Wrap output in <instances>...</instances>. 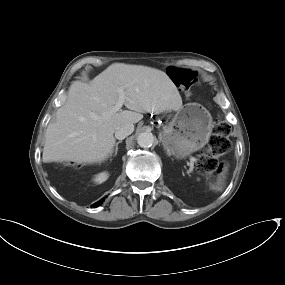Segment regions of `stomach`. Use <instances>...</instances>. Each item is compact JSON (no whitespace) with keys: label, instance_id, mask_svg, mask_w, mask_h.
<instances>
[{"label":"stomach","instance_id":"1","mask_svg":"<svg viewBox=\"0 0 285 285\" xmlns=\"http://www.w3.org/2000/svg\"><path fill=\"white\" fill-rule=\"evenodd\" d=\"M212 132L210 113L199 104L183 106L160 132L163 145L170 155L184 158L203 148Z\"/></svg>","mask_w":285,"mask_h":285}]
</instances>
